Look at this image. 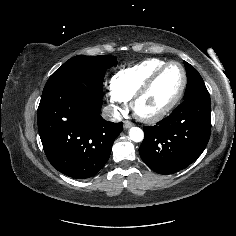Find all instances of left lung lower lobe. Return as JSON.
Masks as SVG:
<instances>
[{"label":"left lung lower lobe","mask_w":236,"mask_h":236,"mask_svg":"<svg viewBox=\"0 0 236 236\" xmlns=\"http://www.w3.org/2000/svg\"><path fill=\"white\" fill-rule=\"evenodd\" d=\"M139 153L159 174H173L194 162L204 151L211 133L210 95L190 96L155 126L143 127Z\"/></svg>","instance_id":"0a47b994"}]
</instances>
